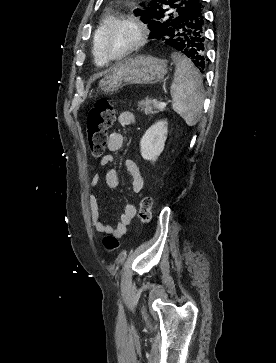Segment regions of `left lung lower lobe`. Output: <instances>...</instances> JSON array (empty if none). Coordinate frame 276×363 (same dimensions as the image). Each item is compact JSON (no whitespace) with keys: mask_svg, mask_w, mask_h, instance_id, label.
I'll return each mask as SVG.
<instances>
[{"mask_svg":"<svg viewBox=\"0 0 276 363\" xmlns=\"http://www.w3.org/2000/svg\"><path fill=\"white\" fill-rule=\"evenodd\" d=\"M203 7V0H188L167 30L154 37L188 57L200 72L206 63Z\"/></svg>","mask_w":276,"mask_h":363,"instance_id":"obj_1","label":"left lung lower lobe"}]
</instances>
